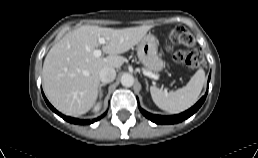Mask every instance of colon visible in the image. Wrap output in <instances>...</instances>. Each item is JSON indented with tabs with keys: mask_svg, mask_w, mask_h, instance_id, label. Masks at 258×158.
I'll use <instances>...</instances> for the list:
<instances>
[{
	"mask_svg": "<svg viewBox=\"0 0 258 158\" xmlns=\"http://www.w3.org/2000/svg\"><path fill=\"white\" fill-rule=\"evenodd\" d=\"M172 44H181L183 48L173 54L176 62L186 64L190 69L196 70L205 65L202 54L197 51L194 45L192 34L184 27L177 26L173 28L167 36V49H171Z\"/></svg>",
	"mask_w": 258,
	"mask_h": 158,
	"instance_id": "obj_1",
	"label": "colon"
}]
</instances>
